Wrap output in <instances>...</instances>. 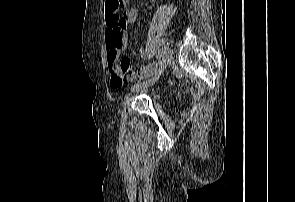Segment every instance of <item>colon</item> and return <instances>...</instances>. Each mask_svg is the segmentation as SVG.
Masks as SVG:
<instances>
[{
    "label": "colon",
    "instance_id": "colon-1",
    "mask_svg": "<svg viewBox=\"0 0 295 202\" xmlns=\"http://www.w3.org/2000/svg\"><path fill=\"white\" fill-rule=\"evenodd\" d=\"M126 0H106V14L112 15V18L109 20L112 26H115L120 21L119 10L123 7ZM118 77V76H114ZM112 81V80H111Z\"/></svg>",
    "mask_w": 295,
    "mask_h": 202
}]
</instances>
